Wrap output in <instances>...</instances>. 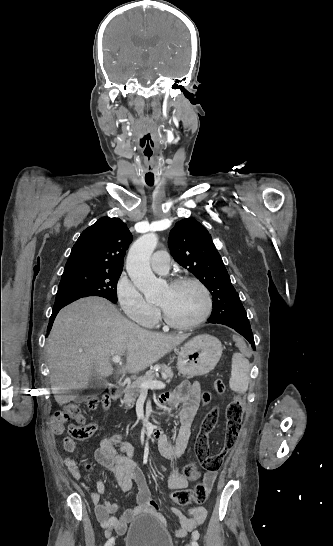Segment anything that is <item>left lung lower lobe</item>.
<instances>
[{
    "label": "left lung lower lobe",
    "mask_w": 333,
    "mask_h": 546,
    "mask_svg": "<svg viewBox=\"0 0 333 546\" xmlns=\"http://www.w3.org/2000/svg\"><path fill=\"white\" fill-rule=\"evenodd\" d=\"M208 323L222 324V325H226V326H229V327L233 328L239 334L244 336L249 341L252 348L255 349L254 338H253L251 326H250V323H249V319L247 318V316L240 317V318L236 319L232 323L215 322V321H212L211 319H208Z\"/></svg>",
    "instance_id": "0a47b994"
}]
</instances>
